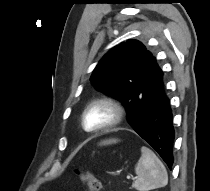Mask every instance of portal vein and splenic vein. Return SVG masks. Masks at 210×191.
Returning a JSON list of instances; mask_svg holds the SVG:
<instances>
[{"label": "portal vein and splenic vein", "instance_id": "obj_1", "mask_svg": "<svg viewBox=\"0 0 210 191\" xmlns=\"http://www.w3.org/2000/svg\"><path fill=\"white\" fill-rule=\"evenodd\" d=\"M128 180H130V179H132L133 177L132 176H130V175H127V177H126Z\"/></svg>", "mask_w": 210, "mask_h": 191}]
</instances>
